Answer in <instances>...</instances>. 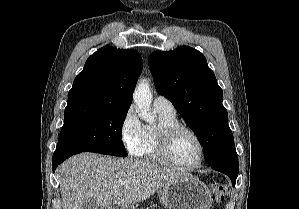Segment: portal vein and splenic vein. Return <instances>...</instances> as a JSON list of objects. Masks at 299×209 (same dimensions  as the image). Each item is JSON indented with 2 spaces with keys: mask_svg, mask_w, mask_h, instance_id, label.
Instances as JSON below:
<instances>
[{
  "mask_svg": "<svg viewBox=\"0 0 299 209\" xmlns=\"http://www.w3.org/2000/svg\"><path fill=\"white\" fill-rule=\"evenodd\" d=\"M126 184H127V182H125V181L120 182V185H126Z\"/></svg>",
  "mask_w": 299,
  "mask_h": 209,
  "instance_id": "obj_1",
  "label": "portal vein and splenic vein"
}]
</instances>
